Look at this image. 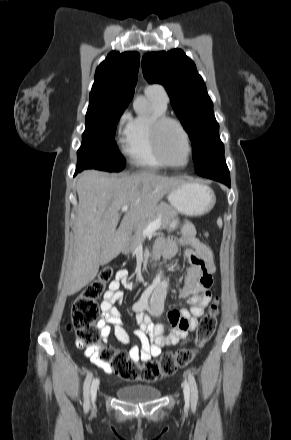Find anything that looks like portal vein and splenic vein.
<instances>
[{
	"instance_id": "portal-vein-and-splenic-vein-1",
	"label": "portal vein and splenic vein",
	"mask_w": 291,
	"mask_h": 440,
	"mask_svg": "<svg viewBox=\"0 0 291 440\" xmlns=\"http://www.w3.org/2000/svg\"><path fill=\"white\" fill-rule=\"evenodd\" d=\"M128 211V206H123L122 207V212H127ZM161 226V219L160 217H158L156 220L152 221L147 227L146 229L143 231V235H149L153 232H155L157 229H159Z\"/></svg>"
}]
</instances>
